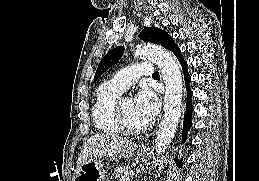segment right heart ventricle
Segmentation results:
<instances>
[{
	"instance_id": "right-heart-ventricle-1",
	"label": "right heart ventricle",
	"mask_w": 259,
	"mask_h": 181,
	"mask_svg": "<svg viewBox=\"0 0 259 181\" xmlns=\"http://www.w3.org/2000/svg\"><path fill=\"white\" fill-rule=\"evenodd\" d=\"M122 92V89L110 82L102 83L96 89L91 114L93 123L99 131L110 134L123 132L116 111L117 99Z\"/></svg>"
}]
</instances>
